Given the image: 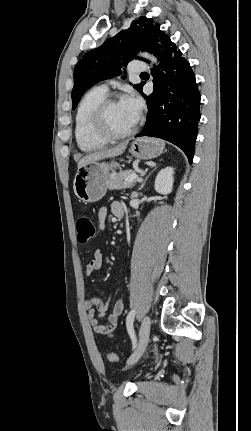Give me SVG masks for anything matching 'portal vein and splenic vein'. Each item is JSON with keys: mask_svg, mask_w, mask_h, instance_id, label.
Returning <instances> with one entry per match:
<instances>
[{"mask_svg": "<svg viewBox=\"0 0 251 431\" xmlns=\"http://www.w3.org/2000/svg\"><path fill=\"white\" fill-rule=\"evenodd\" d=\"M134 180H139L138 175L135 174V173L131 174L130 176H128L125 181L131 182V181H134Z\"/></svg>", "mask_w": 251, "mask_h": 431, "instance_id": "18ae733b", "label": "portal vein and splenic vein"}]
</instances>
